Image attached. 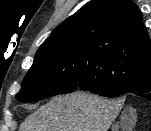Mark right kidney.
Listing matches in <instances>:
<instances>
[{
    "mask_svg": "<svg viewBox=\"0 0 151 131\" xmlns=\"http://www.w3.org/2000/svg\"><path fill=\"white\" fill-rule=\"evenodd\" d=\"M125 119H128V120H131V117L129 115H126L125 116ZM122 125V123H120ZM117 127V126H116ZM116 127L114 130H116ZM124 131H132V127H128V128H125L123 129Z\"/></svg>",
    "mask_w": 151,
    "mask_h": 131,
    "instance_id": "right-kidney-1",
    "label": "right kidney"
}]
</instances>
